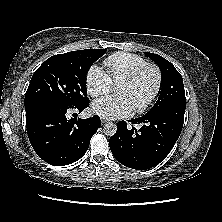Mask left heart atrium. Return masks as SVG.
Returning a JSON list of instances; mask_svg holds the SVG:
<instances>
[{"instance_id": "1", "label": "left heart atrium", "mask_w": 222, "mask_h": 222, "mask_svg": "<svg viewBox=\"0 0 222 222\" xmlns=\"http://www.w3.org/2000/svg\"><path fill=\"white\" fill-rule=\"evenodd\" d=\"M93 111L105 119H118L128 115L133 109L128 99L122 95H108L92 104Z\"/></svg>"}]
</instances>
